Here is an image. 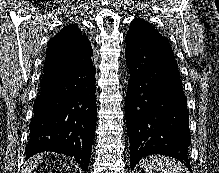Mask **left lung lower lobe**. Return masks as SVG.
I'll use <instances>...</instances> for the list:
<instances>
[{
    "label": "left lung lower lobe",
    "instance_id": "obj_1",
    "mask_svg": "<svg viewBox=\"0 0 219 173\" xmlns=\"http://www.w3.org/2000/svg\"><path fill=\"white\" fill-rule=\"evenodd\" d=\"M125 41L130 71L125 106L131 168L147 155L162 154L191 170L187 98L168 40L126 37Z\"/></svg>",
    "mask_w": 219,
    "mask_h": 173
}]
</instances>
